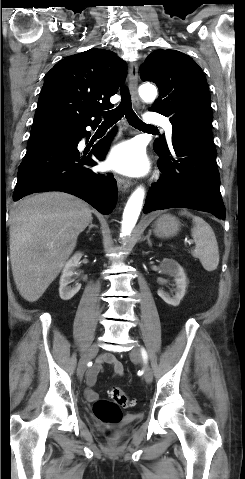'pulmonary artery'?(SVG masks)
<instances>
[{
  "label": "pulmonary artery",
  "instance_id": "pulmonary-artery-1",
  "mask_svg": "<svg viewBox=\"0 0 245 479\" xmlns=\"http://www.w3.org/2000/svg\"><path fill=\"white\" fill-rule=\"evenodd\" d=\"M147 121L150 123V125H160L162 126L168 135V137H171L172 134V125L170 121L168 120L167 117L161 114H156V113H150L147 115Z\"/></svg>",
  "mask_w": 245,
  "mask_h": 479
}]
</instances>
